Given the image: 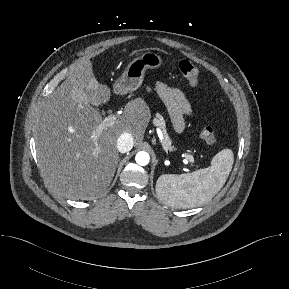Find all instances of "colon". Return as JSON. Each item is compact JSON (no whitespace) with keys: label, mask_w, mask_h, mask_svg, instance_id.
Wrapping results in <instances>:
<instances>
[{"label":"colon","mask_w":289,"mask_h":289,"mask_svg":"<svg viewBox=\"0 0 289 289\" xmlns=\"http://www.w3.org/2000/svg\"><path fill=\"white\" fill-rule=\"evenodd\" d=\"M178 70L181 76L189 83L190 86H196L199 81L198 69L187 59H180L178 62ZM201 138L211 146L216 145L217 139L211 126L206 125L200 133Z\"/></svg>","instance_id":"5ec220e1"}]
</instances>
